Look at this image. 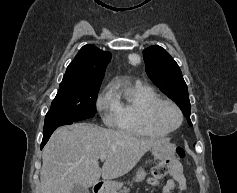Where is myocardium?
<instances>
[{"instance_id": "obj_1", "label": "myocardium", "mask_w": 237, "mask_h": 193, "mask_svg": "<svg viewBox=\"0 0 237 193\" xmlns=\"http://www.w3.org/2000/svg\"><path fill=\"white\" fill-rule=\"evenodd\" d=\"M163 106H170L176 111L178 118H179L176 126L169 127L161 121L160 111ZM183 119H184L183 113H182L181 109L179 108V106L175 102H173L172 100H169V99H160L159 98L158 100L153 102L147 110V120H148L149 124H151L155 128L160 129L166 133H171V132L176 131L182 125Z\"/></svg>"}]
</instances>
